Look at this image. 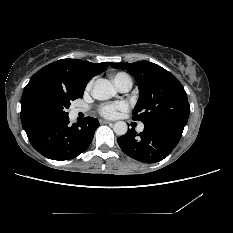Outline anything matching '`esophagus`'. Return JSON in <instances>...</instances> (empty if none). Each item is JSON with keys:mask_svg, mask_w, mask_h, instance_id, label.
Returning a JSON list of instances; mask_svg holds the SVG:
<instances>
[{"mask_svg": "<svg viewBox=\"0 0 233 233\" xmlns=\"http://www.w3.org/2000/svg\"><path fill=\"white\" fill-rule=\"evenodd\" d=\"M100 123L101 124H113V122L107 121V120H101Z\"/></svg>", "mask_w": 233, "mask_h": 233, "instance_id": "esophagus-1", "label": "esophagus"}]
</instances>
